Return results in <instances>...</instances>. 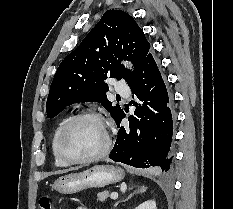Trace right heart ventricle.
I'll return each mask as SVG.
<instances>
[{"label":"right heart ventricle","mask_w":233,"mask_h":209,"mask_svg":"<svg viewBox=\"0 0 233 209\" xmlns=\"http://www.w3.org/2000/svg\"><path fill=\"white\" fill-rule=\"evenodd\" d=\"M65 121H66V119H62L58 123V125H57V127H56V129H55V131L53 133L52 140H51V151H52L54 163L58 167L68 166V163H66L65 161H63L60 158V156L58 154V149H57L59 134H60V131H61L62 126L64 125Z\"/></svg>","instance_id":"obj_1"}]
</instances>
